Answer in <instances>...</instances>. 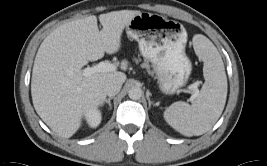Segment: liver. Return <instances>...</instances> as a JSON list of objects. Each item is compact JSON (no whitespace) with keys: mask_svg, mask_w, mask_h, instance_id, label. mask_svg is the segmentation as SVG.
Here are the masks:
<instances>
[{"mask_svg":"<svg viewBox=\"0 0 267 166\" xmlns=\"http://www.w3.org/2000/svg\"><path fill=\"white\" fill-rule=\"evenodd\" d=\"M140 13L121 10L100 14L101 31L97 17L90 15L59 26L41 43L32 71V101L40 118L59 136L70 138L81 127L87 111L105 102L107 80L125 82L123 72L84 76L82 67L101 59L105 52H118L124 28ZM121 68H127L126 60Z\"/></svg>","mask_w":267,"mask_h":166,"instance_id":"liver-1","label":"liver"}]
</instances>
